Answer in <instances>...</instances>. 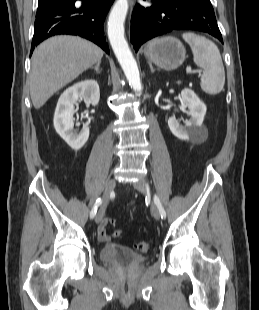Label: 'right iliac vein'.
Here are the masks:
<instances>
[{"label":"right iliac vein","instance_id":"right-iliac-vein-1","mask_svg":"<svg viewBox=\"0 0 259 310\" xmlns=\"http://www.w3.org/2000/svg\"><path fill=\"white\" fill-rule=\"evenodd\" d=\"M115 186H116V181L114 179H110L107 182L106 187H105V191L103 194V201H102L101 206H100V208L97 212V215L95 217L96 223H99L103 219L104 214H105V210L107 207V203L109 200V196H110L111 192L114 190Z\"/></svg>","mask_w":259,"mask_h":310}]
</instances>
